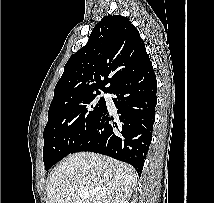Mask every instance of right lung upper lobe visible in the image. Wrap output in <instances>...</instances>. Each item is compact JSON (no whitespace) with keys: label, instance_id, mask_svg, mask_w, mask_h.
<instances>
[{"label":"right lung upper lobe","instance_id":"right-lung-upper-lobe-1","mask_svg":"<svg viewBox=\"0 0 214 203\" xmlns=\"http://www.w3.org/2000/svg\"><path fill=\"white\" fill-rule=\"evenodd\" d=\"M150 64L139 31L129 19L105 16L95 25L87 44L65 64L49 111L92 95L97 89L108 92Z\"/></svg>","mask_w":214,"mask_h":203}]
</instances>
